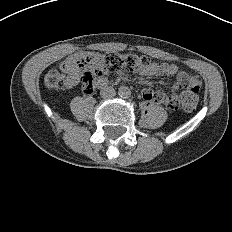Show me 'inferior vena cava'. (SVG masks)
Segmentation results:
<instances>
[{
	"instance_id": "1",
	"label": "inferior vena cava",
	"mask_w": 232,
	"mask_h": 232,
	"mask_svg": "<svg viewBox=\"0 0 232 232\" xmlns=\"http://www.w3.org/2000/svg\"><path fill=\"white\" fill-rule=\"evenodd\" d=\"M116 95V91L113 87H105L101 90V96L103 98H113Z\"/></svg>"
}]
</instances>
